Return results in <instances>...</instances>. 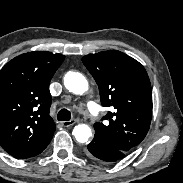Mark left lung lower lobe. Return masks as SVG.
<instances>
[{"label":"left lung lower lobe","instance_id":"1","mask_svg":"<svg viewBox=\"0 0 183 183\" xmlns=\"http://www.w3.org/2000/svg\"><path fill=\"white\" fill-rule=\"evenodd\" d=\"M86 155L100 163H112L122 159L127 152L121 151L94 136L91 143L87 145Z\"/></svg>","mask_w":183,"mask_h":183}]
</instances>
